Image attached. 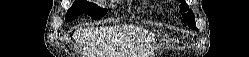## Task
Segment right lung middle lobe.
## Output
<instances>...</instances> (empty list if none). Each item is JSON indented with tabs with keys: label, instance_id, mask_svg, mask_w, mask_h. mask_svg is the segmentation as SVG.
Returning a JSON list of instances; mask_svg holds the SVG:
<instances>
[{
	"label": "right lung middle lobe",
	"instance_id": "dd1d6c3e",
	"mask_svg": "<svg viewBox=\"0 0 249 57\" xmlns=\"http://www.w3.org/2000/svg\"><path fill=\"white\" fill-rule=\"evenodd\" d=\"M106 12L107 9H101L96 4L84 0H76L73 6L68 10L65 20L71 21L76 19L82 13H85L94 19H100Z\"/></svg>",
	"mask_w": 249,
	"mask_h": 57
}]
</instances>
